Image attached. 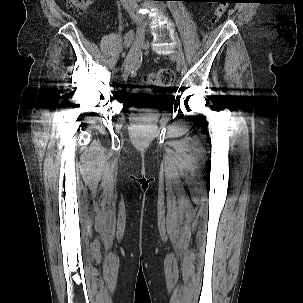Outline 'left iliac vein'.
Returning a JSON list of instances; mask_svg holds the SVG:
<instances>
[{"label":"left iliac vein","mask_w":303,"mask_h":303,"mask_svg":"<svg viewBox=\"0 0 303 303\" xmlns=\"http://www.w3.org/2000/svg\"><path fill=\"white\" fill-rule=\"evenodd\" d=\"M173 38L175 39L176 41V50L172 53V57L174 59L177 60V62L181 65V66H184L185 65V61H184V55L182 53V50H181V43H180V40L178 38V36L174 33L173 34Z\"/></svg>","instance_id":"left-iliac-vein-1"}]
</instances>
